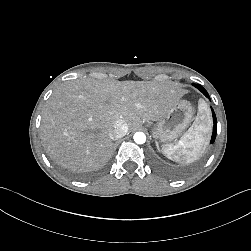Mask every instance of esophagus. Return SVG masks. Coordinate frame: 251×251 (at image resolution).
Instances as JSON below:
<instances>
[{"mask_svg": "<svg viewBox=\"0 0 251 251\" xmlns=\"http://www.w3.org/2000/svg\"><path fill=\"white\" fill-rule=\"evenodd\" d=\"M138 131L141 132V133H145V132H146V128H144V127H139V128H138Z\"/></svg>", "mask_w": 251, "mask_h": 251, "instance_id": "34e87169", "label": "esophagus"}]
</instances>
